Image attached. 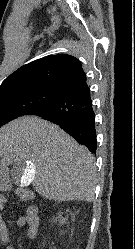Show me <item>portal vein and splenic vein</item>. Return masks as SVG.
<instances>
[{"label":"portal vein and splenic vein","mask_w":135,"mask_h":249,"mask_svg":"<svg viewBox=\"0 0 135 249\" xmlns=\"http://www.w3.org/2000/svg\"><path fill=\"white\" fill-rule=\"evenodd\" d=\"M27 175L30 177V178H33V176L35 175V166L30 163L28 164L27 166Z\"/></svg>","instance_id":"18ae733b"}]
</instances>
